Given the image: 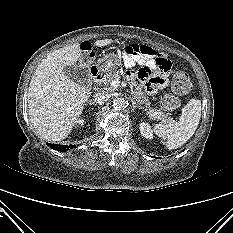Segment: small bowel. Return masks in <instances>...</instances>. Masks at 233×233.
Returning a JSON list of instances; mask_svg holds the SVG:
<instances>
[{
	"mask_svg": "<svg viewBox=\"0 0 233 233\" xmlns=\"http://www.w3.org/2000/svg\"><path fill=\"white\" fill-rule=\"evenodd\" d=\"M81 50L86 61H89L94 55L91 44L87 42L81 45ZM123 62L127 68L141 66L138 72L131 76L142 81L150 94L156 93L157 90L167 85L166 76L170 70V62L153 48L138 44L128 45L125 48Z\"/></svg>",
	"mask_w": 233,
	"mask_h": 233,
	"instance_id": "1",
	"label": "small bowel"
}]
</instances>
